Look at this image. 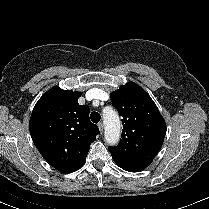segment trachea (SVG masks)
<instances>
[{
    "instance_id": "1",
    "label": "trachea",
    "mask_w": 209,
    "mask_h": 209,
    "mask_svg": "<svg viewBox=\"0 0 209 209\" xmlns=\"http://www.w3.org/2000/svg\"><path fill=\"white\" fill-rule=\"evenodd\" d=\"M90 118L93 123H98L101 119V116L98 112L94 111L91 113Z\"/></svg>"
}]
</instances>
